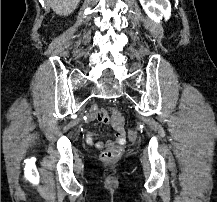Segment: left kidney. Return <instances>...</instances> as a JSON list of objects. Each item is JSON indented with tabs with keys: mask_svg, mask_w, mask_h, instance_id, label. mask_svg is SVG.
<instances>
[{
	"mask_svg": "<svg viewBox=\"0 0 217 202\" xmlns=\"http://www.w3.org/2000/svg\"><path fill=\"white\" fill-rule=\"evenodd\" d=\"M139 2L145 14L154 22H161L162 18L169 20L171 6L168 0H139Z\"/></svg>",
	"mask_w": 217,
	"mask_h": 202,
	"instance_id": "left-kidney-1",
	"label": "left kidney"
}]
</instances>
